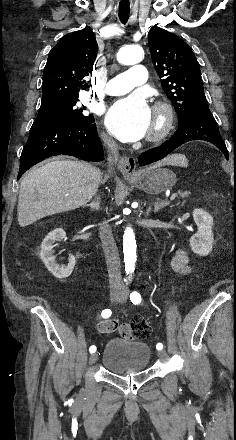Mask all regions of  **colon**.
<instances>
[{
    "instance_id": "obj_1",
    "label": "colon",
    "mask_w": 236,
    "mask_h": 440,
    "mask_svg": "<svg viewBox=\"0 0 236 440\" xmlns=\"http://www.w3.org/2000/svg\"><path fill=\"white\" fill-rule=\"evenodd\" d=\"M130 324L134 332L133 338L145 339L150 335V326L144 317L137 315Z\"/></svg>"
}]
</instances>
